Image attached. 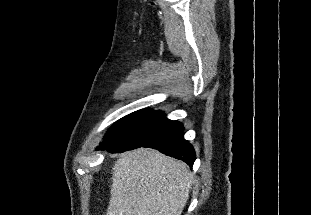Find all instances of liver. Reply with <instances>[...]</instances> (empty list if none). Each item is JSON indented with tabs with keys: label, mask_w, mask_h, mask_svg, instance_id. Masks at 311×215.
<instances>
[{
	"label": "liver",
	"mask_w": 311,
	"mask_h": 215,
	"mask_svg": "<svg viewBox=\"0 0 311 215\" xmlns=\"http://www.w3.org/2000/svg\"><path fill=\"white\" fill-rule=\"evenodd\" d=\"M106 215H181L189 198L188 166L157 150L127 152L112 168Z\"/></svg>",
	"instance_id": "liver-1"
}]
</instances>
